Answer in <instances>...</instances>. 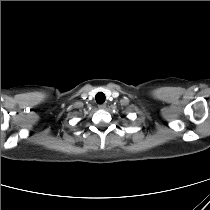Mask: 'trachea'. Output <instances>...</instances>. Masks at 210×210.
<instances>
[{"label": "trachea", "mask_w": 210, "mask_h": 210, "mask_svg": "<svg viewBox=\"0 0 210 210\" xmlns=\"http://www.w3.org/2000/svg\"><path fill=\"white\" fill-rule=\"evenodd\" d=\"M95 99H96V102H97L98 104H102V103H104V101H105V94L102 93V92H99V93L96 94Z\"/></svg>", "instance_id": "1"}]
</instances>
